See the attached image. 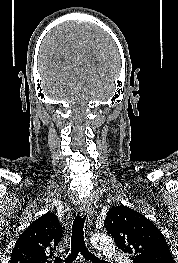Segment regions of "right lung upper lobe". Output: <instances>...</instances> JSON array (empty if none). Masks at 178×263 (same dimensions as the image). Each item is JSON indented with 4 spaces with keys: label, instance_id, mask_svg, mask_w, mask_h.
I'll list each match as a JSON object with an SVG mask.
<instances>
[{
    "label": "right lung upper lobe",
    "instance_id": "right-lung-upper-lobe-1",
    "mask_svg": "<svg viewBox=\"0 0 178 263\" xmlns=\"http://www.w3.org/2000/svg\"><path fill=\"white\" fill-rule=\"evenodd\" d=\"M62 236L63 227L57 216L42 215L19 236L10 263H52L50 259Z\"/></svg>",
    "mask_w": 178,
    "mask_h": 263
}]
</instances>
